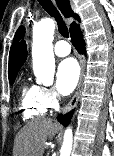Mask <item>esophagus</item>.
I'll return each instance as SVG.
<instances>
[{
	"label": "esophagus",
	"mask_w": 114,
	"mask_h": 156,
	"mask_svg": "<svg viewBox=\"0 0 114 156\" xmlns=\"http://www.w3.org/2000/svg\"><path fill=\"white\" fill-rule=\"evenodd\" d=\"M79 63H80V77H79L78 85H77L76 91L74 93V96L72 97L70 102L65 107L64 113H67L70 110H72L76 106V104L80 98V92H81V88L83 85V77H84V71H85V59H84L83 55L79 56Z\"/></svg>",
	"instance_id": "1"
}]
</instances>
